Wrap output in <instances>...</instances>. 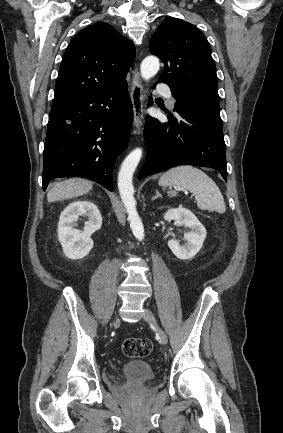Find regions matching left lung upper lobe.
I'll return each mask as SVG.
<instances>
[{"instance_id":"left-lung-upper-lobe-1","label":"left lung upper lobe","mask_w":283,"mask_h":433,"mask_svg":"<svg viewBox=\"0 0 283 433\" xmlns=\"http://www.w3.org/2000/svg\"><path fill=\"white\" fill-rule=\"evenodd\" d=\"M149 50L165 63L159 82L168 84L177 100L175 113L222 126L216 67L205 35L196 26L170 17L152 35Z\"/></svg>"}]
</instances>
